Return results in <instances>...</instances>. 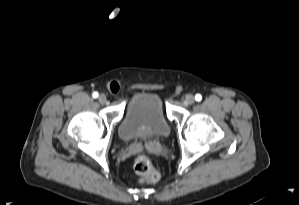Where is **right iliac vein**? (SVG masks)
Here are the masks:
<instances>
[{"label": "right iliac vein", "instance_id": "63e3f726", "mask_svg": "<svg viewBox=\"0 0 299 205\" xmlns=\"http://www.w3.org/2000/svg\"><path fill=\"white\" fill-rule=\"evenodd\" d=\"M98 101H99L101 104H104V103H106L107 98H106V96H105L104 94H101V95H99V97H98Z\"/></svg>", "mask_w": 299, "mask_h": 205}]
</instances>
